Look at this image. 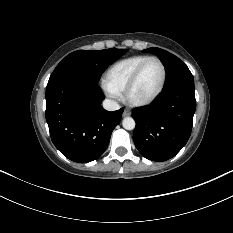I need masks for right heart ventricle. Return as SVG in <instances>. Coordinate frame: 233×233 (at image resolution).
Masks as SVG:
<instances>
[{"mask_svg":"<svg viewBox=\"0 0 233 233\" xmlns=\"http://www.w3.org/2000/svg\"><path fill=\"white\" fill-rule=\"evenodd\" d=\"M147 57L149 56L135 55L117 61L106 71L104 82L118 93H123L131 75Z\"/></svg>","mask_w":233,"mask_h":233,"instance_id":"right-heart-ventricle-1","label":"right heart ventricle"}]
</instances>
